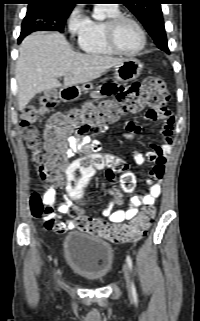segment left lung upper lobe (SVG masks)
I'll list each match as a JSON object with an SVG mask.
<instances>
[{
    "instance_id": "obj_1",
    "label": "left lung upper lobe",
    "mask_w": 200,
    "mask_h": 321,
    "mask_svg": "<svg viewBox=\"0 0 200 321\" xmlns=\"http://www.w3.org/2000/svg\"><path fill=\"white\" fill-rule=\"evenodd\" d=\"M163 0H121L143 24L161 50L167 52L168 44L160 4Z\"/></svg>"
}]
</instances>
